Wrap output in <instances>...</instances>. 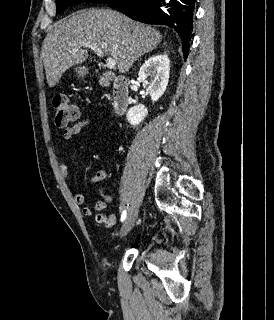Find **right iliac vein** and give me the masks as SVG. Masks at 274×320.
<instances>
[{
    "mask_svg": "<svg viewBox=\"0 0 274 320\" xmlns=\"http://www.w3.org/2000/svg\"><path fill=\"white\" fill-rule=\"evenodd\" d=\"M137 216H138V208L132 207L126 217V220H125L122 228H121V232H120L121 238L126 237L127 234L130 232V230L132 229V227L135 224Z\"/></svg>",
    "mask_w": 274,
    "mask_h": 320,
    "instance_id": "1",
    "label": "right iliac vein"
}]
</instances>
